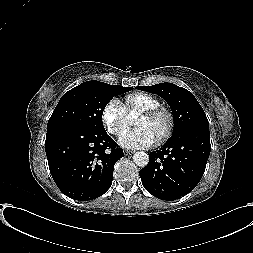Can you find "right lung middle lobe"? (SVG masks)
Listing matches in <instances>:
<instances>
[{
    "label": "right lung middle lobe",
    "instance_id": "1",
    "mask_svg": "<svg viewBox=\"0 0 253 253\" xmlns=\"http://www.w3.org/2000/svg\"><path fill=\"white\" fill-rule=\"evenodd\" d=\"M132 87L87 81L66 92L51 115L47 129L60 125H78L105 130L102 114L113 96L131 91Z\"/></svg>",
    "mask_w": 253,
    "mask_h": 253
}]
</instances>
